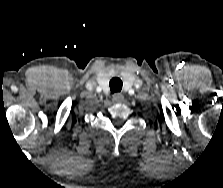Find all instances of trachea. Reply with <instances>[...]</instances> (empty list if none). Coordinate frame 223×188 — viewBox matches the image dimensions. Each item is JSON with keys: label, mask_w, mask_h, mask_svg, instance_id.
<instances>
[{"label": "trachea", "mask_w": 223, "mask_h": 188, "mask_svg": "<svg viewBox=\"0 0 223 188\" xmlns=\"http://www.w3.org/2000/svg\"><path fill=\"white\" fill-rule=\"evenodd\" d=\"M109 86L112 93L120 92L122 89V80L114 77L110 80Z\"/></svg>", "instance_id": "1"}]
</instances>
